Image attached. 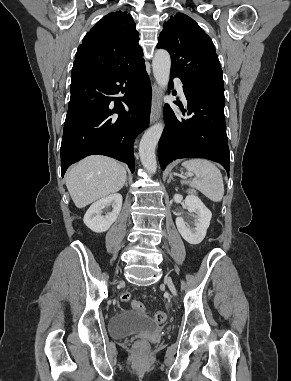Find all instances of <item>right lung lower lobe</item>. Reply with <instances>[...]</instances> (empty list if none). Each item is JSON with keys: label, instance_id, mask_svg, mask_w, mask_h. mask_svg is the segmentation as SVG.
Returning a JSON list of instances; mask_svg holds the SVG:
<instances>
[{"label": "right lung lower lobe", "instance_id": "obj_1", "mask_svg": "<svg viewBox=\"0 0 291 381\" xmlns=\"http://www.w3.org/2000/svg\"><path fill=\"white\" fill-rule=\"evenodd\" d=\"M71 98L61 143V174L92 154L135 169L133 143L149 126L152 89L144 60L118 72L72 71ZM119 92L124 97L115 98ZM128 107V110L125 108Z\"/></svg>", "mask_w": 291, "mask_h": 381}]
</instances>
